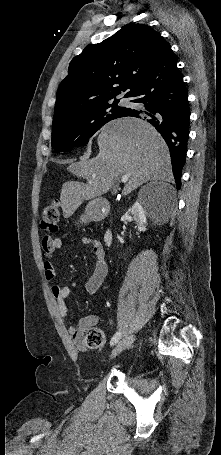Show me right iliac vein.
Masks as SVG:
<instances>
[{"instance_id":"63e3f726","label":"right iliac vein","mask_w":221,"mask_h":455,"mask_svg":"<svg viewBox=\"0 0 221 455\" xmlns=\"http://www.w3.org/2000/svg\"><path fill=\"white\" fill-rule=\"evenodd\" d=\"M135 340V336L133 335H130V336H126L123 340H121L117 346L114 348V350L112 351L111 355H110V358L113 359L115 358L116 356H118L123 350H125L126 348H128Z\"/></svg>"}]
</instances>
